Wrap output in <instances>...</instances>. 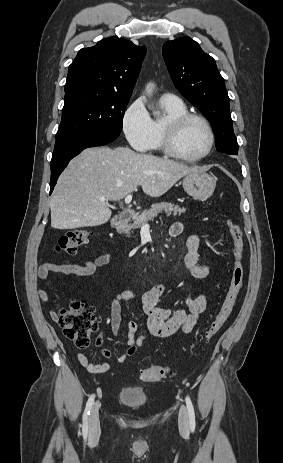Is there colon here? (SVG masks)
<instances>
[{
    "label": "colon",
    "mask_w": 283,
    "mask_h": 463,
    "mask_svg": "<svg viewBox=\"0 0 283 463\" xmlns=\"http://www.w3.org/2000/svg\"><path fill=\"white\" fill-rule=\"evenodd\" d=\"M227 229L233 241V266L231 280L224 301L205 333V340L212 339L224 326L236 304L237 297L243 287V233L233 221L227 220ZM91 233L87 229H75L61 235L56 244V250L65 255L72 256L77 249L87 243ZM57 320L65 334L79 347L89 344L91 335L97 330V320L94 313L85 308L81 301H73L67 308L57 313ZM168 369L164 366L154 365L144 369L140 378L144 382H158L166 377Z\"/></svg>",
    "instance_id": "5ec220e1"
}]
</instances>
